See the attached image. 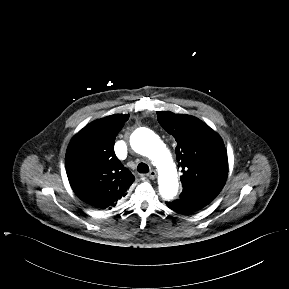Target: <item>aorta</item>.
<instances>
[{"label": "aorta", "instance_id": "obj_1", "mask_svg": "<svg viewBox=\"0 0 289 289\" xmlns=\"http://www.w3.org/2000/svg\"><path fill=\"white\" fill-rule=\"evenodd\" d=\"M133 150L148 157L157 168L159 193L165 200H170L178 192V175L176 165L170 151L161 139L148 129H141L130 138Z\"/></svg>", "mask_w": 289, "mask_h": 289}]
</instances>
